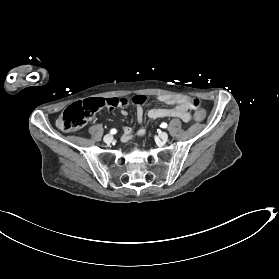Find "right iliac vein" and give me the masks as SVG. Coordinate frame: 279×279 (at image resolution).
Masks as SVG:
<instances>
[{
    "mask_svg": "<svg viewBox=\"0 0 279 279\" xmlns=\"http://www.w3.org/2000/svg\"><path fill=\"white\" fill-rule=\"evenodd\" d=\"M112 140H113V136L110 135V134L105 135L104 138H103V141H104L105 143H111Z\"/></svg>",
    "mask_w": 279,
    "mask_h": 279,
    "instance_id": "right-iliac-vein-1",
    "label": "right iliac vein"
}]
</instances>
